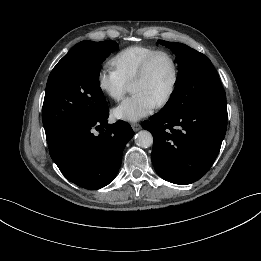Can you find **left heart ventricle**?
I'll return each mask as SVG.
<instances>
[{"mask_svg": "<svg viewBox=\"0 0 261 261\" xmlns=\"http://www.w3.org/2000/svg\"><path fill=\"white\" fill-rule=\"evenodd\" d=\"M173 77L172 65L165 56L156 58L146 78L131 85L132 93H143L156 104L168 92Z\"/></svg>", "mask_w": 261, "mask_h": 261, "instance_id": "obj_1", "label": "left heart ventricle"}]
</instances>
